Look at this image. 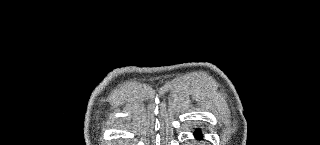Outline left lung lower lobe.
Returning <instances> with one entry per match:
<instances>
[{
	"label": "left lung lower lobe",
	"mask_w": 320,
	"mask_h": 145,
	"mask_svg": "<svg viewBox=\"0 0 320 145\" xmlns=\"http://www.w3.org/2000/svg\"><path fill=\"white\" fill-rule=\"evenodd\" d=\"M195 136H196V138H198V139H201V138H202V135H201L200 131H197V132L195 133Z\"/></svg>",
	"instance_id": "1"
}]
</instances>
